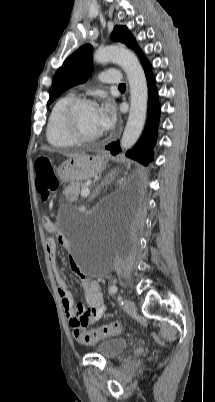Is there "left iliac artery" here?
<instances>
[{
	"label": "left iliac artery",
	"mask_w": 215,
	"mask_h": 402,
	"mask_svg": "<svg viewBox=\"0 0 215 402\" xmlns=\"http://www.w3.org/2000/svg\"><path fill=\"white\" fill-rule=\"evenodd\" d=\"M117 291H118V288L115 285L111 286L110 289H109L110 294H115ZM118 298L121 299L120 296Z\"/></svg>",
	"instance_id": "1"
}]
</instances>
